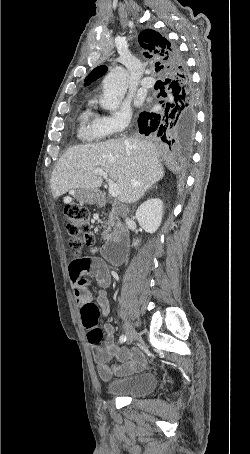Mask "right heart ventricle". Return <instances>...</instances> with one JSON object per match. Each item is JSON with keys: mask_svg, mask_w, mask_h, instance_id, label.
<instances>
[{"mask_svg": "<svg viewBox=\"0 0 250 454\" xmlns=\"http://www.w3.org/2000/svg\"><path fill=\"white\" fill-rule=\"evenodd\" d=\"M77 135L87 142L102 139L104 135L99 127V116L90 109L85 110L79 117Z\"/></svg>", "mask_w": 250, "mask_h": 454, "instance_id": "obj_1", "label": "right heart ventricle"}]
</instances>
